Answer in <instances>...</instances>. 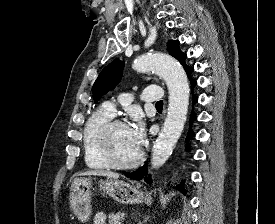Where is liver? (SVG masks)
Masks as SVG:
<instances>
[{
  "label": "liver",
  "mask_w": 275,
  "mask_h": 224,
  "mask_svg": "<svg viewBox=\"0 0 275 224\" xmlns=\"http://www.w3.org/2000/svg\"><path fill=\"white\" fill-rule=\"evenodd\" d=\"M82 176H90V175H95V176H105L108 179H118L119 174L114 173L111 171H103V170H91V171H85L80 173Z\"/></svg>",
  "instance_id": "obj_1"
}]
</instances>
